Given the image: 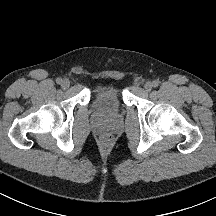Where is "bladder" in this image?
Segmentation results:
<instances>
[{
  "label": "bladder",
  "mask_w": 216,
  "mask_h": 216,
  "mask_svg": "<svg viewBox=\"0 0 216 216\" xmlns=\"http://www.w3.org/2000/svg\"><path fill=\"white\" fill-rule=\"evenodd\" d=\"M90 106L103 118H117L125 106L121 89L116 85L97 86L91 92Z\"/></svg>",
  "instance_id": "obj_1"
}]
</instances>
